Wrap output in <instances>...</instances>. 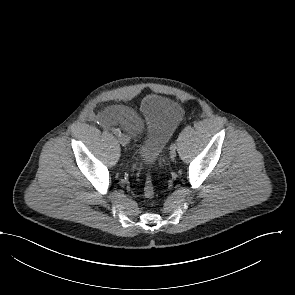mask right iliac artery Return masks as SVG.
<instances>
[{
    "instance_id": "right-iliac-artery-1",
    "label": "right iliac artery",
    "mask_w": 295,
    "mask_h": 295,
    "mask_svg": "<svg viewBox=\"0 0 295 295\" xmlns=\"http://www.w3.org/2000/svg\"><path fill=\"white\" fill-rule=\"evenodd\" d=\"M114 134L117 135V136H120L121 135V131L119 129H115L114 130Z\"/></svg>"
}]
</instances>
